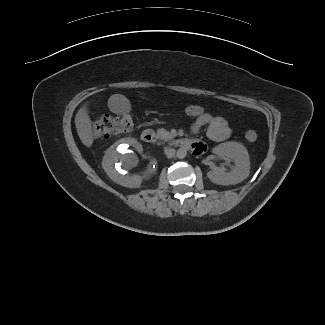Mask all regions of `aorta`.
I'll return each instance as SVG.
<instances>
[{"instance_id":"aorta-1","label":"aorta","mask_w":325,"mask_h":325,"mask_svg":"<svg viewBox=\"0 0 325 325\" xmlns=\"http://www.w3.org/2000/svg\"><path fill=\"white\" fill-rule=\"evenodd\" d=\"M176 155H177V157H178L179 159H183V158H185L186 155H187V150H186L185 148H179V149L177 150Z\"/></svg>"}]
</instances>
